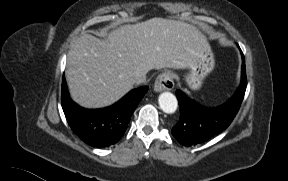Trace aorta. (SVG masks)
Masks as SVG:
<instances>
[{
    "label": "aorta",
    "instance_id": "1",
    "mask_svg": "<svg viewBox=\"0 0 288 181\" xmlns=\"http://www.w3.org/2000/svg\"><path fill=\"white\" fill-rule=\"evenodd\" d=\"M158 103L161 110L167 114H172L177 110V99L170 92L161 93L158 98Z\"/></svg>",
    "mask_w": 288,
    "mask_h": 181
}]
</instances>
